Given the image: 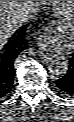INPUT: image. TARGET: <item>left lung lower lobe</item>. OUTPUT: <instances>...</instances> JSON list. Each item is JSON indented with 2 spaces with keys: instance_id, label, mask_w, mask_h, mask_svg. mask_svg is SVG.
<instances>
[{
  "instance_id": "left-lung-lower-lobe-1",
  "label": "left lung lower lobe",
  "mask_w": 74,
  "mask_h": 122,
  "mask_svg": "<svg viewBox=\"0 0 74 122\" xmlns=\"http://www.w3.org/2000/svg\"><path fill=\"white\" fill-rule=\"evenodd\" d=\"M56 89L62 94L74 96V54L70 59L68 72L56 81Z\"/></svg>"
}]
</instances>
